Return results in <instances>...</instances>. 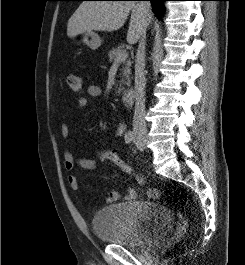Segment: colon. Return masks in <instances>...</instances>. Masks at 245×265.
I'll return each instance as SVG.
<instances>
[{
	"label": "colon",
	"mask_w": 245,
	"mask_h": 265,
	"mask_svg": "<svg viewBox=\"0 0 245 265\" xmlns=\"http://www.w3.org/2000/svg\"><path fill=\"white\" fill-rule=\"evenodd\" d=\"M67 84L70 91L78 97V100L83 98V83L82 79L75 75L70 74L67 77ZM97 156L104 161H108L118 167L120 170L127 174L132 173L131 167L122 159L120 158L115 151L112 150H100L97 152Z\"/></svg>",
	"instance_id": "1"
}]
</instances>
